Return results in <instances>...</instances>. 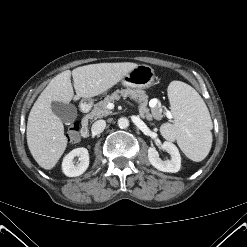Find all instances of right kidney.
I'll return each mask as SVG.
<instances>
[{"mask_svg":"<svg viewBox=\"0 0 247 247\" xmlns=\"http://www.w3.org/2000/svg\"><path fill=\"white\" fill-rule=\"evenodd\" d=\"M78 157L75 164L74 158ZM89 166V153L84 147L70 151L63 159L62 170L68 177H76L83 174Z\"/></svg>","mask_w":247,"mask_h":247,"instance_id":"right-kidney-1","label":"right kidney"}]
</instances>
